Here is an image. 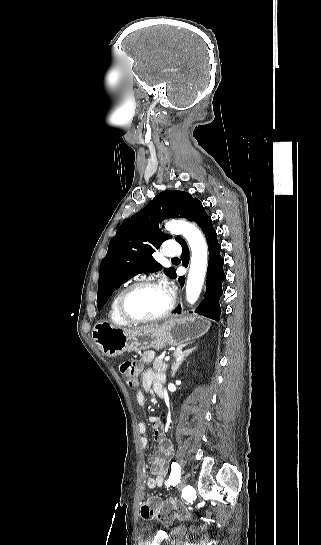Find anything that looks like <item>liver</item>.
I'll return each instance as SVG.
<instances>
[{
	"instance_id": "liver-1",
	"label": "liver",
	"mask_w": 321,
	"mask_h": 545,
	"mask_svg": "<svg viewBox=\"0 0 321 545\" xmlns=\"http://www.w3.org/2000/svg\"><path fill=\"white\" fill-rule=\"evenodd\" d=\"M152 325H149V327H141V329H151ZM125 333H128V329H123Z\"/></svg>"
}]
</instances>
